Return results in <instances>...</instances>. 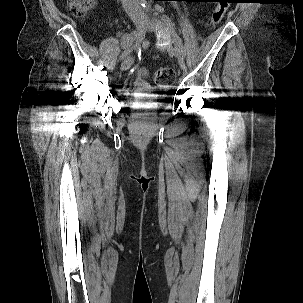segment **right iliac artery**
<instances>
[{"label":"right iliac artery","instance_id":"82829eb1","mask_svg":"<svg viewBox=\"0 0 303 303\" xmlns=\"http://www.w3.org/2000/svg\"><path fill=\"white\" fill-rule=\"evenodd\" d=\"M131 52V48H127L120 56V59H124Z\"/></svg>","mask_w":303,"mask_h":303}]
</instances>
